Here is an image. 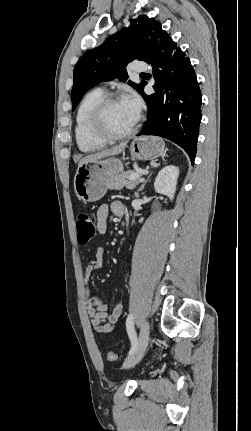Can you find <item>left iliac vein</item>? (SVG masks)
I'll return each instance as SVG.
<instances>
[{"instance_id":"4c4485c4","label":"left iliac vein","mask_w":251,"mask_h":431,"mask_svg":"<svg viewBox=\"0 0 251 431\" xmlns=\"http://www.w3.org/2000/svg\"><path fill=\"white\" fill-rule=\"evenodd\" d=\"M150 326L148 321H145L140 329L139 340L135 351L125 360L123 367L130 368L135 366L143 357L148 342H149Z\"/></svg>"}]
</instances>
